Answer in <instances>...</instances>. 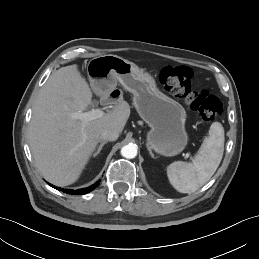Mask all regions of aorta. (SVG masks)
I'll use <instances>...</instances> for the list:
<instances>
[{
    "instance_id": "1",
    "label": "aorta",
    "mask_w": 259,
    "mask_h": 259,
    "mask_svg": "<svg viewBox=\"0 0 259 259\" xmlns=\"http://www.w3.org/2000/svg\"><path fill=\"white\" fill-rule=\"evenodd\" d=\"M121 155L128 159L135 158L137 155V148L134 145H125L121 148Z\"/></svg>"
}]
</instances>
